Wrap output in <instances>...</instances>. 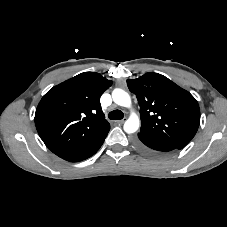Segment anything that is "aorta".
<instances>
[{
    "label": "aorta",
    "instance_id": "obj_1",
    "mask_svg": "<svg viewBox=\"0 0 227 227\" xmlns=\"http://www.w3.org/2000/svg\"><path fill=\"white\" fill-rule=\"evenodd\" d=\"M113 101L122 107H131L130 95L122 89H114L112 92ZM140 120L135 113H132L130 117L124 123V131L128 134L134 133L139 129Z\"/></svg>",
    "mask_w": 227,
    "mask_h": 227
}]
</instances>
